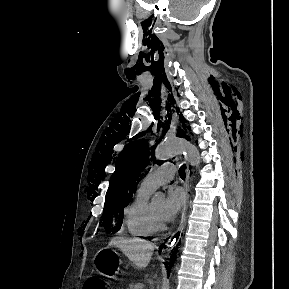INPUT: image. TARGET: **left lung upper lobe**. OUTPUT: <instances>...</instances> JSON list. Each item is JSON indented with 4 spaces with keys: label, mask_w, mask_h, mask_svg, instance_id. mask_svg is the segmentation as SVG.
I'll return each instance as SVG.
<instances>
[{
    "label": "left lung upper lobe",
    "mask_w": 289,
    "mask_h": 289,
    "mask_svg": "<svg viewBox=\"0 0 289 289\" xmlns=\"http://www.w3.org/2000/svg\"><path fill=\"white\" fill-rule=\"evenodd\" d=\"M177 136L186 137L183 130ZM152 148L151 158L154 159ZM149 148L146 141H135L126 145L117 160V167L112 176L111 187L106 193L102 223L107 232H116L120 228L123 209L128 205L134 189L139 182V174L149 161ZM113 221L118 225L113 227Z\"/></svg>",
    "instance_id": "left-lung-upper-lobe-1"
}]
</instances>
